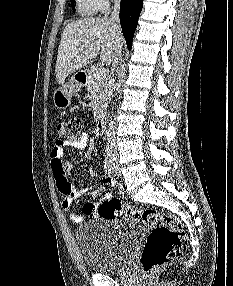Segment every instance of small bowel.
Here are the masks:
<instances>
[{
	"label": "small bowel",
	"mask_w": 233,
	"mask_h": 286,
	"mask_svg": "<svg viewBox=\"0 0 233 286\" xmlns=\"http://www.w3.org/2000/svg\"><path fill=\"white\" fill-rule=\"evenodd\" d=\"M89 138L86 133L82 134L79 140L73 143L68 142H62L57 140L53 147L50 150V166L53 178L55 180V184L57 187V190L62 197V208L63 210L69 214V217L71 220H73L76 223H82L85 220L92 218L95 216V211L97 204L90 202L86 203L83 206V210L81 214L71 212V206L73 202L84 195L88 189H78L75 188L69 180L68 177V163L64 160V149L66 145L71 144L78 150L82 151L85 150L88 146ZM104 184L110 187L115 186V181L112 180L110 177H105L103 179ZM108 198V196H106Z\"/></svg>",
	"instance_id": "1"
}]
</instances>
